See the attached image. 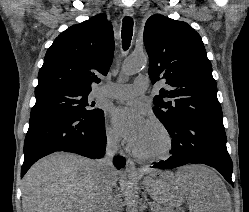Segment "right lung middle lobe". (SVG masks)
Wrapping results in <instances>:
<instances>
[{"mask_svg":"<svg viewBox=\"0 0 249 212\" xmlns=\"http://www.w3.org/2000/svg\"><path fill=\"white\" fill-rule=\"evenodd\" d=\"M90 92L54 91L36 95L31 116L39 113L60 112L87 118H99L103 110L95 108V102L88 100Z\"/></svg>","mask_w":249,"mask_h":212,"instance_id":"right-lung-middle-lobe-1","label":"right lung middle lobe"}]
</instances>
